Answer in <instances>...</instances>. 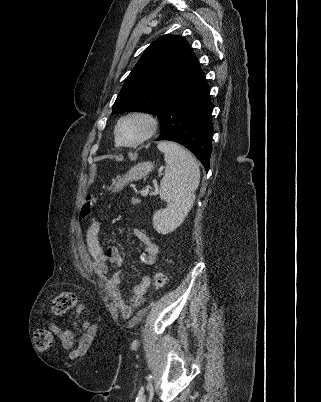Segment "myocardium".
I'll return each instance as SVG.
<instances>
[{"mask_svg":"<svg viewBox=\"0 0 321 402\" xmlns=\"http://www.w3.org/2000/svg\"><path fill=\"white\" fill-rule=\"evenodd\" d=\"M132 119H139L143 121L146 125L145 132L141 137H139L136 141L131 142V143H125L122 142L119 136V129L120 126L129 120ZM159 127V122L158 119L151 113L145 112V111H131L122 117H120L115 125L114 128V137L116 144L120 147L124 148H136L145 142H147L149 139H151L157 132Z\"/></svg>","mask_w":321,"mask_h":402,"instance_id":"myocardium-1","label":"myocardium"}]
</instances>
